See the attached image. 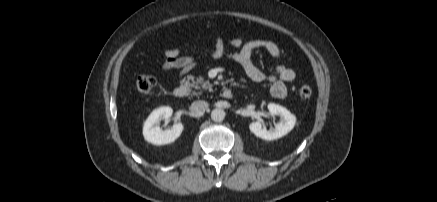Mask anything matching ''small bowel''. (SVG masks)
<instances>
[{"label": "small bowel", "mask_w": 437, "mask_h": 202, "mask_svg": "<svg viewBox=\"0 0 437 202\" xmlns=\"http://www.w3.org/2000/svg\"><path fill=\"white\" fill-rule=\"evenodd\" d=\"M263 49L274 58H280V47L270 40L254 39L243 41L235 38L226 45L221 36L216 37L212 50L207 54L212 59L227 57L237 63L246 76L254 82H269L271 95L275 98H284L287 94V84L295 79V72L286 65H277L272 74H267L258 68L252 61L256 50ZM164 61L161 64L163 71L178 70V76L189 73L196 65L195 58L181 48L166 49L163 52Z\"/></svg>", "instance_id": "1"}]
</instances>
